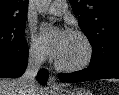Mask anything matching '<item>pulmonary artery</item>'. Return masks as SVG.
Segmentation results:
<instances>
[{
  "label": "pulmonary artery",
  "mask_w": 119,
  "mask_h": 95,
  "mask_svg": "<svg viewBox=\"0 0 119 95\" xmlns=\"http://www.w3.org/2000/svg\"><path fill=\"white\" fill-rule=\"evenodd\" d=\"M47 13L55 16H61L67 13V4L63 0H57L47 9Z\"/></svg>",
  "instance_id": "1"
}]
</instances>
